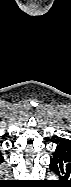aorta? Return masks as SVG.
<instances>
[{"label":"aorta","mask_w":71,"mask_h":187,"mask_svg":"<svg viewBox=\"0 0 71 187\" xmlns=\"http://www.w3.org/2000/svg\"><path fill=\"white\" fill-rule=\"evenodd\" d=\"M48 178H49V180H56L57 179V177L55 175H50Z\"/></svg>","instance_id":"762f6f07"}]
</instances>
